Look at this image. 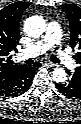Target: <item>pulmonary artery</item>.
<instances>
[{
  "label": "pulmonary artery",
  "mask_w": 81,
  "mask_h": 124,
  "mask_svg": "<svg viewBox=\"0 0 81 124\" xmlns=\"http://www.w3.org/2000/svg\"><path fill=\"white\" fill-rule=\"evenodd\" d=\"M61 38L62 32L60 25L56 21H51L47 25L45 35L27 50L19 53L18 57L20 59L26 57H36L45 53L47 50L54 46L57 49L56 54L61 63L66 67L75 68L76 65L71 55L61 46Z\"/></svg>",
  "instance_id": "obj_1"
}]
</instances>
